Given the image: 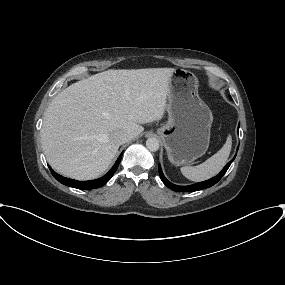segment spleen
I'll list each match as a JSON object with an SVG mask.
<instances>
[{
    "mask_svg": "<svg viewBox=\"0 0 285 285\" xmlns=\"http://www.w3.org/2000/svg\"><path fill=\"white\" fill-rule=\"evenodd\" d=\"M232 147V138L228 135L223 147L204 163L197 166H185L181 168L182 174L191 181H204L220 172L229 157Z\"/></svg>",
    "mask_w": 285,
    "mask_h": 285,
    "instance_id": "obj_1",
    "label": "spleen"
}]
</instances>
